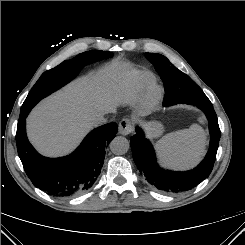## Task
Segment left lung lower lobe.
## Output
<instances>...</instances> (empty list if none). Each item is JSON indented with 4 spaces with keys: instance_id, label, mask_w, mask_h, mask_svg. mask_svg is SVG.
I'll list each match as a JSON object with an SVG mask.
<instances>
[{
    "instance_id": "1",
    "label": "left lung lower lobe",
    "mask_w": 245,
    "mask_h": 245,
    "mask_svg": "<svg viewBox=\"0 0 245 245\" xmlns=\"http://www.w3.org/2000/svg\"><path fill=\"white\" fill-rule=\"evenodd\" d=\"M190 97L193 99L186 100L185 104L195 105L205 113L210 131L208 153L195 169L186 172L164 170L158 166L154 149L139 126L136 127V134L131 137L133 159L139 171L151 185L167 193H180L197 186L209 176L216 159L221 132L213 105L201 89L194 90ZM163 103L171 106L165 101Z\"/></svg>"
}]
</instances>
